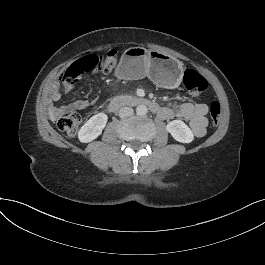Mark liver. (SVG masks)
Masks as SVG:
<instances>
[{"label":"liver","instance_id":"6515ba94","mask_svg":"<svg viewBox=\"0 0 265 265\" xmlns=\"http://www.w3.org/2000/svg\"><path fill=\"white\" fill-rule=\"evenodd\" d=\"M48 114H49V118H50V120H51L53 123H55V121L57 120V118H56V116H55V114H54V109H53L52 106L49 107V109H48Z\"/></svg>","mask_w":265,"mask_h":265}]
</instances>
